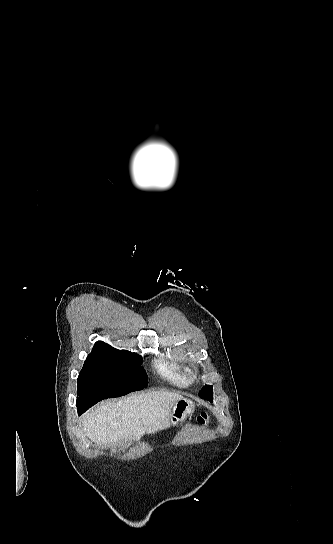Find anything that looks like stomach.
Instances as JSON below:
<instances>
[{
    "instance_id": "obj_1",
    "label": "stomach",
    "mask_w": 333,
    "mask_h": 544,
    "mask_svg": "<svg viewBox=\"0 0 333 544\" xmlns=\"http://www.w3.org/2000/svg\"><path fill=\"white\" fill-rule=\"evenodd\" d=\"M194 404L191 400L181 399L175 403L171 410L170 425L177 426L194 412Z\"/></svg>"
}]
</instances>
